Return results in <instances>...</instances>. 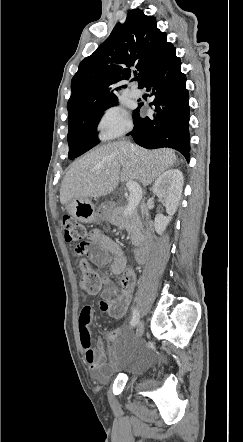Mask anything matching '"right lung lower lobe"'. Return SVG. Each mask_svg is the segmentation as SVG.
Segmentation results:
<instances>
[{"instance_id":"obj_1","label":"right lung lower lobe","mask_w":243,"mask_h":442,"mask_svg":"<svg viewBox=\"0 0 243 442\" xmlns=\"http://www.w3.org/2000/svg\"><path fill=\"white\" fill-rule=\"evenodd\" d=\"M181 62L175 50L143 82L155 98L151 106L153 118L142 119L139 110L134 111V141L147 149L169 147L181 152L189 161V97L186 76L180 70ZM128 134V135H129Z\"/></svg>"}]
</instances>
